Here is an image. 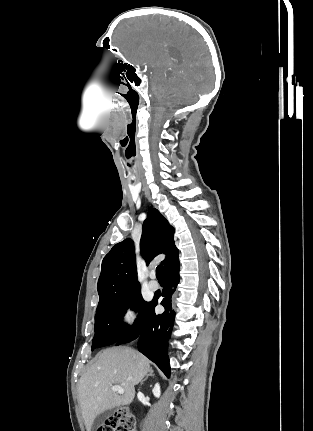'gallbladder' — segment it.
Listing matches in <instances>:
<instances>
[{
	"instance_id": "obj_1",
	"label": "gallbladder",
	"mask_w": 313,
	"mask_h": 431,
	"mask_svg": "<svg viewBox=\"0 0 313 431\" xmlns=\"http://www.w3.org/2000/svg\"><path fill=\"white\" fill-rule=\"evenodd\" d=\"M104 414H101V415H99L98 417H97V419H96V423L97 424H99V423H101L102 421H103V419H104Z\"/></svg>"
}]
</instances>
